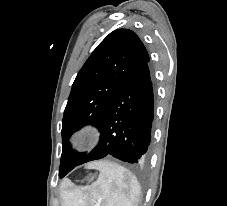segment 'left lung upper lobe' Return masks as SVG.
<instances>
[{
  "label": "left lung upper lobe",
  "mask_w": 227,
  "mask_h": 206,
  "mask_svg": "<svg viewBox=\"0 0 227 206\" xmlns=\"http://www.w3.org/2000/svg\"><path fill=\"white\" fill-rule=\"evenodd\" d=\"M149 60L142 41L129 29L111 32L92 52L77 74L64 111L59 173L74 168L86 155L71 149L70 136L87 124L100 130L119 89Z\"/></svg>",
  "instance_id": "left-lung-upper-lobe-1"
}]
</instances>
